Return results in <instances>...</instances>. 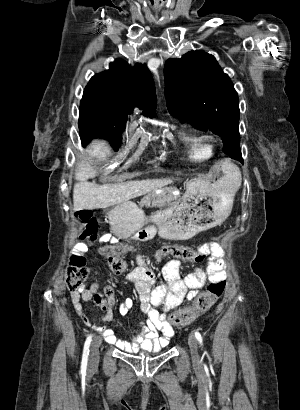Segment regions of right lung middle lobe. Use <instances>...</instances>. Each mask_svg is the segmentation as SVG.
Listing matches in <instances>:
<instances>
[{
    "mask_svg": "<svg viewBox=\"0 0 300 410\" xmlns=\"http://www.w3.org/2000/svg\"><path fill=\"white\" fill-rule=\"evenodd\" d=\"M125 122L116 117L106 116L98 96L84 92L79 109V130L83 143L93 137L108 139L114 148L121 143V132Z\"/></svg>",
    "mask_w": 300,
    "mask_h": 410,
    "instance_id": "1",
    "label": "right lung middle lobe"
}]
</instances>
